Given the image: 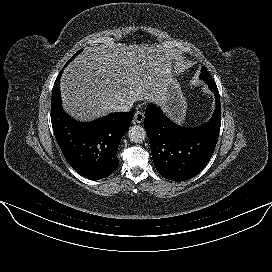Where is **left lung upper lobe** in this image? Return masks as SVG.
Listing matches in <instances>:
<instances>
[{"mask_svg":"<svg viewBox=\"0 0 272 272\" xmlns=\"http://www.w3.org/2000/svg\"><path fill=\"white\" fill-rule=\"evenodd\" d=\"M200 77H201L202 79L206 80V81L212 79L211 76H210V74L208 73V71L206 70L205 67L202 68Z\"/></svg>","mask_w":272,"mask_h":272,"instance_id":"5c2ea615","label":"left lung upper lobe"}]
</instances>
